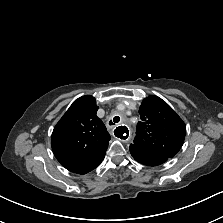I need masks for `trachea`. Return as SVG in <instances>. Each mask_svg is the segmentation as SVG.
<instances>
[{
	"label": "trachea",
	"mask_w": 223,
	"mask_h": 223,
	"mask_svg": "<svg viewBox=\"0 0 223 223\" xmlns=\"http://www.w3.org/2000/svg\"><path fill=\"white\" fill-rule=\"evenodd\" d=\"M120 121V117L115 116L113 120H110L109 125H114V123H118Z\"/></svg>",
	"instance_id": "1"
}]
</instances>
